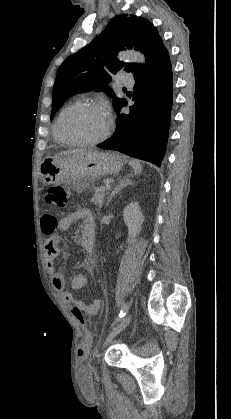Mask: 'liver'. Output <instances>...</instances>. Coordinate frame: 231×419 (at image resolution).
Masks as SVG:
<instances>
[{
    "mask_svg": "<svg viewBox=\"0 0 231 419\" xmlns=\"http://www.w3.org/2000/svg\"><path fill=\"white\" fill-rule=\"evenodd\" d=\"M89 152L88 150L85 149H76V150H68V151H64L61 152L59 154L56 155L57 156H68V155H72V154H82V153H86Z\"/></svg>",
    "mask_w": 231,
    "mask_h": 419,
    "instance_id": "liver-1",
    "label": "liver"
}]
</instances>
